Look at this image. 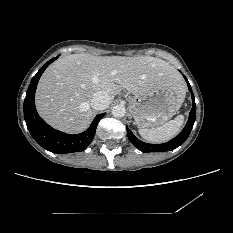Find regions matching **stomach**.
<instances>
[{
    "instance_id": "0dacf381",
    "label": "stomach",
    "mask_w": 233,
    "mask_h": 233,
    "mask_svg": "<svg viewBox=\"0 0 233 233\" xmlns=\"http://www.w3.org/2000/svg\"><path fill=\"white\" fill-rule=\"evenodd\" d=\"M129 109L139 128H154L166 123L177 112L180 102L170 87L149 94L129 97Z\"/></svg>"
}]
</instances>
